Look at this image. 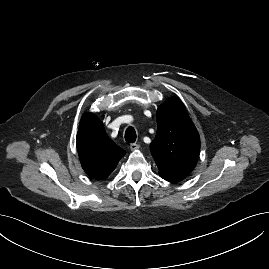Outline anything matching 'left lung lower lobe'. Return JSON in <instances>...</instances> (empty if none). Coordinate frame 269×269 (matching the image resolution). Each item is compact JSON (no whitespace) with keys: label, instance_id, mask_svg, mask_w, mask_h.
Returning <instances> with one entry per match:
<instances>
[{"label":"left lung lower lobe","instance_id":"1","mask_svg":"<svg viewBox=\"0 0 269 269\" xmlns=\"http://www.w3.org/2000/svg\"><path fill=\"white\" fill-rule=\"evenodd\" d=\"M163 179L175 183V182H179L181 180H183L185 177H174V176H164V175H160Z\"/></svg>","mask_w":269,"mask_h":269}]
</instances>
